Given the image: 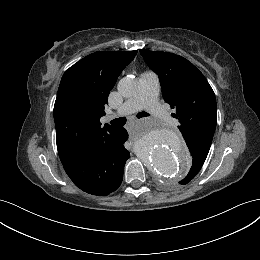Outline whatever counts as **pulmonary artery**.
Returning a JSON list of instances; mask_svg holds the SVG:
<instances>
[{"label":"pulmonary artery","instance_id":"e3ab8cb5","mask_svg":"<svg viewBox=\"0 0 260 260\" xmlns=\"http://www.w3.org/2000/svg\"><path fill=\"white\" fill-rule=\"evenodd\" d=\"M159 89L160 81L157 74L153 72L143 73L140 77L138 92L121 105L116 114L119 116H127L141 109H146L164 124H171L173 119L158 103Z\"/></svg>","mask_w":260,"mask_h":260}]
</instances>
